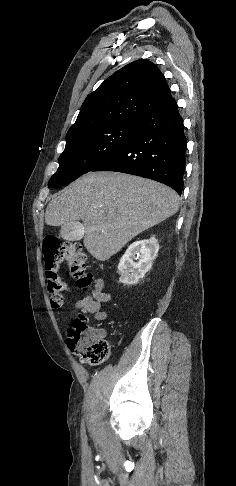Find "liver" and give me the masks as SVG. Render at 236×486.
Instances as JSON below:
<instances>
[{
    "mask_svg": "<svg viewBox=\"0 0 236 486\" xmlns=\"http://www.w3.org/2000/svg\"><path fill=\"white\" fill-rule=\"evenodd\" d=\"M178 209L176 192L159 182L119 172H90L50 201L45 222L62 226L82 220L84 246L95 259L106 261Z\"/></svg>",
    "mask_w": 236,
    "mask_h": 486,
    "instance_id": "liver-1",
    "label": "liver"
}]
</instances>
